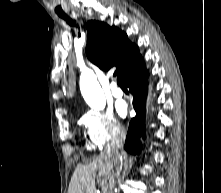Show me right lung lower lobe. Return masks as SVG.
I'll return each mask as SVG.
<instances>
[{
  "label": "right lung lower lobe",
  "instance_id": "1",
  "mask_svg": "<svg viewBox=\"0 0 221 193\" xmlns=\"http://www.w3.org/2000/svg\"><path fill=\"white\" fill-rule=\"evenodd\" d=\"M147 77L144 62L130 73L124 80L133 95V107L136 116L129 124L128 133L125 141V150L132 154H139L142 150L141 140L145 139V106L147 97Z\"/></svg>",
  "mask_w": 221,
  "mask_h": 193
}]
</instances>
